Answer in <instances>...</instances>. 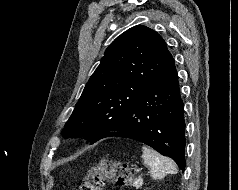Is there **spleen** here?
Listing matches in <instances>:
<instances>
[{
    "mask_svg": "<svg viewBox=\"0 0 238 190\" xmlns=\"http://www.w3.org/2000/svg\"><path fill=\"white\" fill-rule=\"evenodd\" d=\"M142 149L144 164L151 168L150 174L153 179H162L167 174L177 173V165L173 160L160 155L149 147L143 146Z\"/></svg>",
    "mask_w": 238,
    "mask_h": 190,
    "instance_id": "3e777b00",
    "label": "spleen"
}]
</instances>
